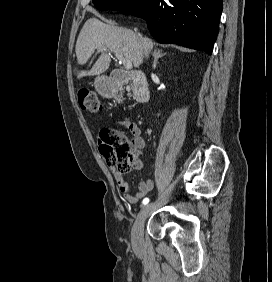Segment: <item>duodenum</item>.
I'll return each instance as SVG.
<instances>
[{
	"mask_svg": "<svg viewBox=\"0 0 272 282\" xmlns=\"http://www.w3.org/2000/svg\"><path fill=\"white\" fill-rule=\"evenodd\" d=\"M132 81L135 86V100L138 104H144L150 99V89L145 75L140 71H115L103 84L102 90L109 98H113L119 92L125 82Z\"/></svg>",
	"mask_w": 272,
	"mask_h": 282,
	"instance_id": "duodenum-1",
	"label": "duodenum"
}]
</instances>
